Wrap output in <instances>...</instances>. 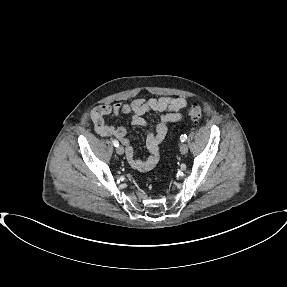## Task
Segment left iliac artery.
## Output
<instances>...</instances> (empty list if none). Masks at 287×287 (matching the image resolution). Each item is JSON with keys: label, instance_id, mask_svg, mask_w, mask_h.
Here are the masks:
<instances>
[{"label": "left iliac artery", "instance_id": "obj_1", "mask_svg": "<svg viewBox=\"0 0 287 287\" xmlns=\"http://www.w3.org/2000/svg\"><path fill=\"white\" fill-rule=\"evenodd\" d=\"M186 139H187V136H186V135H181V136H180V140H181L182 142L186 141Z\"/></svg>", "mask_w": 287, "mask_h": 287}]
</instances>
